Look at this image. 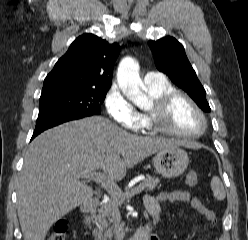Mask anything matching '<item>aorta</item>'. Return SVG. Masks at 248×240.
Instances as JSON below:
<instances>
[{"instance_id":"aorta-1","label":"aorta","mask_w":248,"mask_h":240,"mask_svg":"<svg viewBox=\"0 0 248 240\" xmlns=\"http://www.w3.org/2000/svg\"><path fill=\"white\" fill-rule=\"evenodd\" d=\"M118 86L123 94L137 106L148 103V97L140 89L139 64L131 57L121 60L117 70Z\"/></svg>"}]
</instances>
